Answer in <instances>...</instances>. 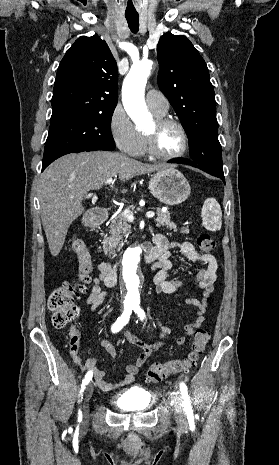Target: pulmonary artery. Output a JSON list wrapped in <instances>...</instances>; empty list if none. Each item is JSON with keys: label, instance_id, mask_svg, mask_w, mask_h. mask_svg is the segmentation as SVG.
I'll list each match as a JSON object with an SVG mask.
<instances>
[{"label": "pulmonary artery", "instance_id": "e3ab8cb5", "mask_svg": "<svg viewBox=\"0 0 279 465\" xmlns=\"http://www.w3.org/2000/svg\"><path fill=\"white\" fill-rule=\"evenodd\" d=\"M147 106L158 113H166L169 109L167 98L157 90H149L146 94Z\"/></svg>", "mask_w": 279, "mask_h": 465}]
</instances>
